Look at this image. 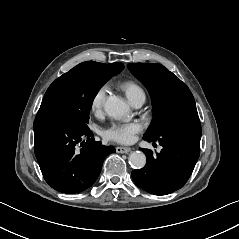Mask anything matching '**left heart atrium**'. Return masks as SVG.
<instances>
[{
	"label": "left heart atrium",
	"instance_id": "obj_1",
	"mask_svg": "<svg viewBox=\"0 0 239 239\" xmlns=\"http://www.w3.org/2000/svg\"><path fill=\"white\" fill-rule=\"evenodd\" d=\"M143 129L139 119L130 121H114L104 130V137L123 144H130L136 140V135Z\"/></svg>",
	"mask_w": 239,
	"mask_h": 239
}]
</instances>
